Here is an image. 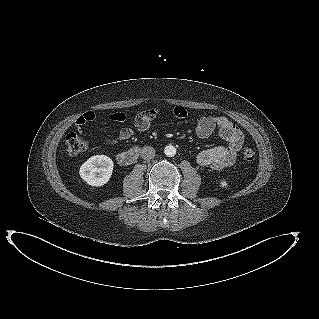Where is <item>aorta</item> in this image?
Returning <instances> with one entry per match:
<instances>
[{
    "label": "aorta",
    "instance_id": "762f6f07",
    "mask_svg": "<svg viewBox=\"0 0 319 319\" xmlns=\"http://www.w3.org/2000/svg\"><path fill=\"white\" fill-rule=\"evenodd\" d=\"M164 153L168 157H173L176 154V148L172 145H168L165 147Z\"/></svg>",
    "mask_w": 319,
    "mask_h": 319
}]
</instances>
